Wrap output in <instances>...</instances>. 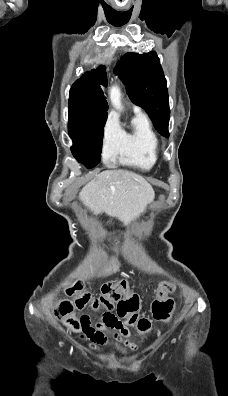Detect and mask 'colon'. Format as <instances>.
<instances>
[{
    "mask_svg": "<svg viewBox=\"0 0 228 396\" xmlns=\"http://www.w3.org/2000/svg\"><path fill=\"white\" fill-rule=\"evenodd\" d=\"M172 289L168 281H163L159 285L157 298L152 303V315L155 320L162 322L170 320L174 302L168 294ZM67 293L75 296V300L61 302L55 309V316L75 329L88 324L89 318L84 315L80 320H76L72 316L73 310L82 309L88 305L95 311L100 308L106 310L102 316V324L107 328L120 329L136 325L140 332H147L151 329V322L148 319L137 316L139 297L131 291L125 280L105 283L101 288V294L97 297L85 292L80 281H70L67 285ZM115 303L117 304L116 314L111 312ZM119 318H125V322L120 321Z\"/></svg>",
    "mask_w": 228,
    "mask_h": 396,
    "instance_id": "colon-1",
    "label": "colon"
}]
</instances>
